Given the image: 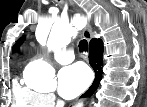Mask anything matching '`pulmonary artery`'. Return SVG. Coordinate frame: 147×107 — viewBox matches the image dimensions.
I'll return each mask as SVG.
<instances>
[{
    "label": "pulmonary artery",
    "instance_id": "1",
    "mask_svg": "<svg viewBox=\"0 0 147 107\" xmlns=\"http://www.w3.org/2000/svg\"><path fill=\"white\" fill-rule=\"evenodd\" d=\"M56 61L60 64H67L74 60V53L71 50H61L54 55Z\"/></svg>",
    "mask_w": 147,
    "mask_h": 107
}]
</instances>
